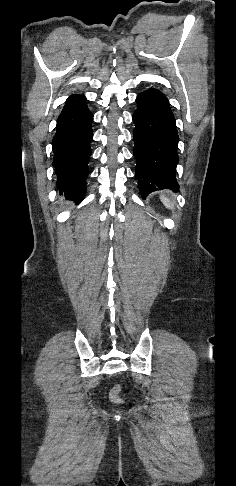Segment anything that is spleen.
I'll use <instances>...</instances> for the list:
<instances>
[{
	"instance_id": "3e777b00",
	"label": "spleen",
	"mask_w": 236,
	"mask_h": 486,
	"mask_svg": "<svg viewBox=\"0 0 236 486\" xmlns=\"http://www.w3.org/2000/svg\"><path fill=\"white\" fill-rule=\"evenodd\" d=\"M160 199L167 208L169 209L173 208L172 202L167 197L161 196Z\"/></svg>"
}]
</instances>
